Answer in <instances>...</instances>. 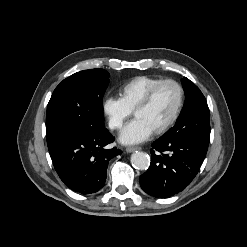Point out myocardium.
<instances>
[{"label": "myocardium", "mask_w": 247, "mask_h": 247, "mask_svg": "<svg viewBox=\"0 0 247 247\" xmlns=\"http://www.w3.org/2000/svg\"><path fill=\"white\" fill-rule=\"evenodd\" d=\"M167 84H171V85L176 87V89L178 91V103H177V106H176L172 116L169 118V120L164 125H162L158 129L153 131V133L155 135H161V134L167 132L177 121V119H178V117H179V115L183 109L184 101H185V92H184L183 86L178 81H176L174 79H163L162 81L155 84L146 93V95L143 97V99L139 102V104L133 110V114L135 116L139 111L147 108L150 105V103L152 102V100H153L154 96L156 95V93L158 92V90L162 86L167 85Z\"/></svg>", "instance_id": "1"}]
</instances>
